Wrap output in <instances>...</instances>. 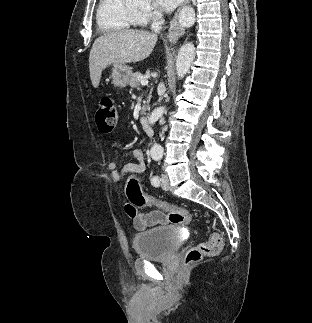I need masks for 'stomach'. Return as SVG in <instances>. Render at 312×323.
Returning a JSON list of instances; mask_svg holds the SVG:
<instances>
[{
    "label": "stomach",
    "mask_w": 312,
    "mask_h": 323,
    "mask_svg": "<svg viewBox=\"0 0 312 323\" xmlns=\"http://www.w3.org/2000/svg\"><path fill=\"white\" fill-rule=\"evenodd\" d=\"M132 72L130 68H127L125 64H119V66H114L112 68V84L118 86V88H125L129 84L130 76Z\"/></svg>",
    "instance_id": "0dacf381"
}]
</instances>
